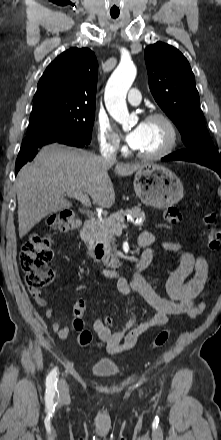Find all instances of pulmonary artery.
<instances>
[{
  "label": "pulmonary artery",
  "mask_w": 221,
  "mask_h": 440,
  "mask_svg": "<svg viewBox=\"0 0 221 440\" xmlns=\"http://www.w3.org/2000/svg\"><path fill=\"white\" fill-rule=\"evenodd\" d=\"M128 102L132 105H137L141 101L140 91L136 88H132L127 96Z\"/></svg>",
  "instance_id": "pulmonary-artery-1"
}]
</instances>
